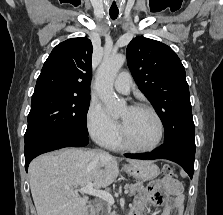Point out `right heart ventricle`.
<instances>
[{"instance_id":"1","label":"right heart ventricle","mask_w":223,"mask_h":215,"mask_svg":"<svg viewBox=\"0 0 223 215\" xmlns=\"http://www.w3.org/2000/svg\"><path fill=\"white\" fill-rule=\"evenodd\" d=\"M106 145H107V147H109L112 150H116V151L124 150L123 145L118 140V136L113 138L109 142H107Z\"/></svg>"}]
</instances>
